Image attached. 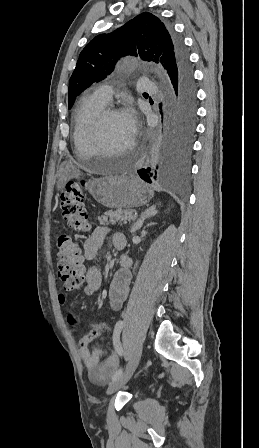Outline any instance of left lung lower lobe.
I'll list each match as a JSON object with an SVG mask.
<instances>
[{"instance_id": "obj_1", "label": "left lung lower lobe", "mask_w": 259, "mask_h": 448, "mask_svg": "<svg viewBox=\"0 0 259 448\" xmlns=\"http://www.w3.org/2000/svg\"><path fill=\"white\" fill-rule=\"evenodd\" d=\"M180 48L173 66L167 69L176 94V106L165 152L152 168L138 170L146 182H154L166 189H181L189 176L193 136L196 126V88L189 58L182 41L175 37Z\"/></svg>"}]
</instances>
